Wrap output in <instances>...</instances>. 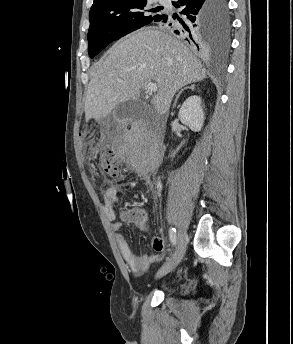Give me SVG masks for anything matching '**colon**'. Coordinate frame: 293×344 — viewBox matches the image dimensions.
<instances>
[{
	"instance_id": "1",
	"label": "colon",
	"mask_w": 293,
	"mask_h": 344,
	"mask_svg": "<svg viewBox=\"0 0 293 344\" xmlns=\"http://www.w3.org/2000/svg\"><path fill=\"white\" fill-rule=\"evenodd\" d=\"M99 162L101 169L106 174L113 178H119L122 176V166L110 144L102 146L99 154ZM122 218L127 222H134L140 225L145 222L144 214L140 210L125 211Z\"/></svg>"
}]
</instances>
